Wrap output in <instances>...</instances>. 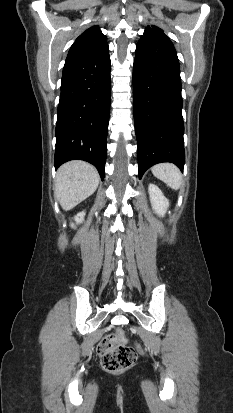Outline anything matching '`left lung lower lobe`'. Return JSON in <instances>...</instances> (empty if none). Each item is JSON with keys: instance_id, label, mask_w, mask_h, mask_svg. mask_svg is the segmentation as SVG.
<instances>
[{"instance_id": "1", "label": "left lung lower lobe", "mask_w": 233, "mask_h": 413, "mask_svg": "<svg viewBox=\"0 0 233 413\" xmlns=\"http://www.w3.org/2000/svg\"><path fill=\"white\" fill-rule=\"evenodd\" d=\"M139 178L154 164L185 163L181 78L176 50L164 33L139 40L133 66Z\"/></svg>"}]
</instances>
